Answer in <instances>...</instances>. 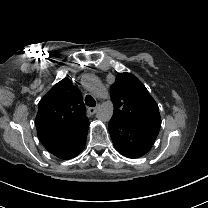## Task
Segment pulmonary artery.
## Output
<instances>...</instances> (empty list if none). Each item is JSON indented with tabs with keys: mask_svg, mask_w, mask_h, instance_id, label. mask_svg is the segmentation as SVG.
Listing matches in <instances>:
<instances>
[{
	"mask_svg": "<svg viewBox=\"0 0 208 208\" xmlns=\"http://www.w3.org/2000/svg\"><path fill=\"white\" fill-rule=\"evenodd\" d=\"M89 82H90L91 84H94V82H93L92 80H89ZM96 86H97L98 88H101V87H102L100 84H97Z\"/></svg>",
	"mask_w": 208,
	"mask_h": 208,
	"instance_id": "e3ab8cb5",
	"label": "pulmonary artery"
}]
</instances>
